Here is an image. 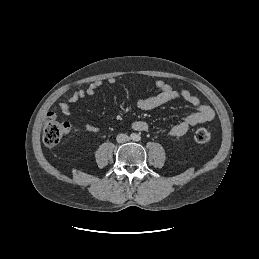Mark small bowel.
I'll return each mask as SVG.
<instances>
[{"label": "small bowel", "mask_w": 259, "mask_h": 259, "mask_svg": "<svg viewBox=\"0 0 259 259\" xmlns=\"http://www.w3.org/2000/svg\"><path fill=\"white\" fill-rule=\"evenodd\" d=\"M107 82L109 84H114L116 80L114 78H109ZM101 86V81H94L89 84L86 89H78L74 91L66 101L60 103L61 111L65 115L70 114L71 105L73 103L93 97L96 90ZM155 86L158 89L157 93L138 97L136 105L139 109L149 111L175 100H182L196 108L195 112L187 115L182 121L173 125L169 129L170 136H183L189 131L190 128L198 124L211 121L214 118V110L207 103L201 102L197 96L193 95L188 90H175L170 84L163 80H157L155 82ZM148 127V123L145 121H134L132 123V128L136 131H146L148 130ZM85 129L89 132L97 131L95 126L89 124L85 125Z\"/></svg>", "instance_id": "obj_1"}]
</instances>
